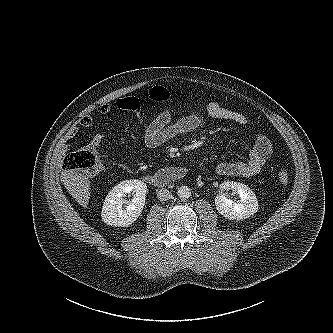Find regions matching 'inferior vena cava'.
<instances>
[{"mask_svg": "<svg viewBox=\"0 0 333 333\" xmlns=\"http://www.w3.org/2000/svg\"><path fill=\"white\" fill-rule=\"evenodd\" d=\"M157 198L160 201H167L172 198V194L169 192V190L162 188L158 191Z\"/></svg>", "mask_w": 333, "mask_h": 333, "instance_id": "1", "label": "inferior vena cava"}]
</instances>
